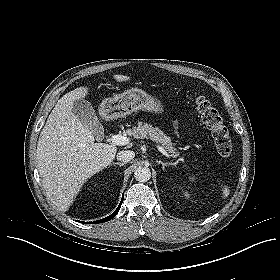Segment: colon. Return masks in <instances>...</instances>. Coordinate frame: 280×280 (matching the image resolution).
<instances>
[{"label":"colon","instance_id":"colon-1","mask_svg":"<svg viewBox=\"0 0 280 280\" xmlns=\"http://www.w3.org/2000/svg\"><path fill=\"white\" fill-rule=\"evenodd\" d=\"M195 103L202 122L212 134L218 153L223 157H228L232 152V143L219 111L203 97L196 98Z\"/></svg>","mask_w":280,"mask_h":280}]
</instances>
